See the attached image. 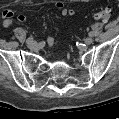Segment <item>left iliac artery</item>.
I'll use <instances>...</instances> for the list:
<instances>
[{
	"mask_svg": "<svg viewBox=\"0 0 119 119\" xmlns=\"http://www.w3.org/2000/svg\"><path fill=\"white\" fill-rule=\"evenodd\" d=\"M92 35H93V33H92V32H90V33H89V36H92Z\"/></svg>",
	"mask_w": 119,
	"mask_h": 119,
	"instance_id": "1",
	"label": "left iliac artery"
}]
</instances>
